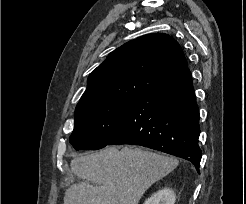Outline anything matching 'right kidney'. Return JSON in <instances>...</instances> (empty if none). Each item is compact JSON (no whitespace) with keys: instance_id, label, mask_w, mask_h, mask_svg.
Instances as JSON below:
<instances>
[{"instance_id":"right-kidney-1","label":"right kidney","mask_w":246,"mask_h":204,"mask_svg":"<svg viewBox=\"0 0 246 204\" xmlns=\"http://www.w3.org/2000/svg\"><path fill=\"white\" fill-rule=\"evenodd\" d=\"M175 193L172 189H161L150 198H148L144 204H174Z\"/></svg>"}]
</instances>
